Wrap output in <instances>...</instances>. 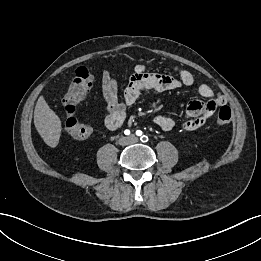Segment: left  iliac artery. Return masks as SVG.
Wrapping results in <instances>:
<instances>
[{
  "label": "left iliac artery",
  "instance_id": "left-iliac-artery-1",
  "mask_svg": "<svg viewBox=\"0 0 261 261\" xmlns=\"http://www.w3.org/2000/svg\"><path fill=\"white\" fill-rule=\"evenodd\" d=\"M136 134H137L138 136H141V135H142V131H141V130H137V131H136ZM148 140H149L148 137L145 136V135H143V136L141 137V141H142V142H147Z\"/></svg>",
  "mask_w": 261,
  "mask_h": 261
}]
</instances>
